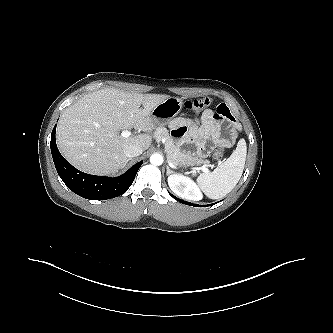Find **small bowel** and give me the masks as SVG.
I'll list each match as a JSON object with an SVG mask.
<instances>
[{
  "label": "small bowel",
  "mask_w": 333,
  "mask_h": 333,
  "mask_svg": "<svg viewBox=\"0 0 333 333\" xmlns=\"http://www.w3.org/2000/svg\"><path fill=\"white\" fill-rule=\"evenodd\" d=\"M175 137L194 147V154L207 156L216 147L231 146L236 138L238 125L226 104L215 110H205L200 120L176 118L171 122Z\"/></svg>",
  "instance_id": "small-bowel-1"
}]
</instances>
